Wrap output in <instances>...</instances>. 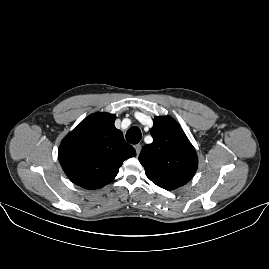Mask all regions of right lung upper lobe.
<instances>
[{
  "label": "right lung upper lobe",
  "instance_id": "cb5924a9",
  "mask_svg": "<svg viewBox=\"0 0 269 269\" xmlns=\"http://www.w3.org/2000/svg\"><path fill=\"white\" fill-rule=\"evenodd\" d=\"M115 119L114 114H91L62 140L59 162L76 185L102 188L116 177L124 160L136 156L115 128Z\"/></svg>",
  "mask_w": 269,
  "mask_h": 269
}]
</instances>
